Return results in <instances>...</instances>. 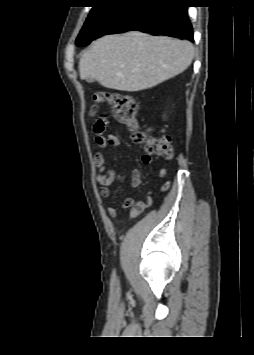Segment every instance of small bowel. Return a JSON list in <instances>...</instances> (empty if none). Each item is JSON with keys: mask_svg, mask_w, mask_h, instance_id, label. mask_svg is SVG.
Instances as JSON below:
<instances>
[{"mask_svg": "<svg viewBox=\"0 0 254 355\" xmlns=\"http://www.w3.org/2000/svg\"><path fill=\"white\" fill-rule=\"evenodd\" d=\"M106 121V126L102 131H98L95 127L96 130V135H95V143L98 147V151L95 154V165L98 168L99 172L95 176L96 182L100 185L99 188V194L100 197L105 199L108 198L110 195V186L114 182H124L126 180L130 181V184L132 187L136 188L140 185L141 183V174L138 169H133L128 175L121 174L117 172L115 169L111 167H107L105 165V150L106 148L110 146L114 147H121V142L120 139L112 134L109 133L107 135L103 134V131L106 129L108 126V120L106 118H102ZM97 126V124H96ZM143 162L146 164H151L153 163V159L150 156H143ZM157 175L159 178H163L166 175V169L165 168H159L157 171ZM143 206V204H137L135 205V200L131 197H128L124 200L122 203V208L127 209V208H132V211L130 213V218L133 219L135 218L139 212L140 208ZM106 212L108 216L111 219H116L117 218V211L113 207H107Z\"/></svg>", "mask_w": 254, "mask_h": 355, "instance_id": "1", "label": "small bowel"}]
</instances>
